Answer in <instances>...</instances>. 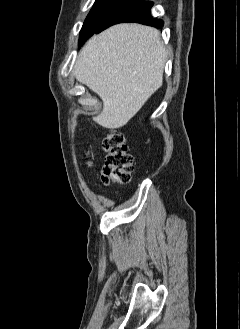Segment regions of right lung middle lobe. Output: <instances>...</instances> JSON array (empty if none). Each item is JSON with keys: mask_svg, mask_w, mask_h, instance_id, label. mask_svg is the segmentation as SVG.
<instances>
[{"mask_svg": "<svg viewBox=\"0 0 240 329\" xmlns=\"http://www.w3.org/2000/svg\"><path fill=\"white\" fill-rule=\"evenodd\" d=\"M120 1L121 0H96L80 31L79 46L93 35L99 23Z\"/></svg>", "mask_w": 240, "mask_h": 329, "instance_id": "obj_1", "label": "right lung middle lobe"}]
</instances>
